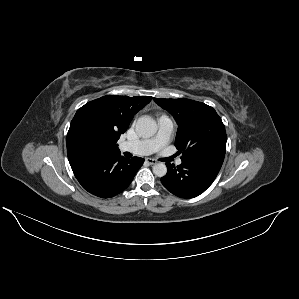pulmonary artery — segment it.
Wrapping results in <instances>:
<instances>
[{"label":"pulmonary artery","mask_w":299,"mask_h":299,"mask_svg":"<svg viewBox=\"0 0 299 299\" xmlns=\"http://www.w3.org/2000/svg\"><path fill=\"white\" fill-rule=\"evenodd\" d=\"M172 131V120L168 116H161L158 119V132L154 138L134 142H123L119 145V149L136 155H149L169 142ZM181 163V159L176 161L178 165Z\"/></svg>","instance_id":"obj_1"}]
</instances>
